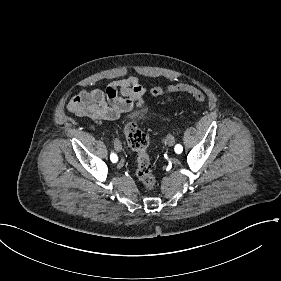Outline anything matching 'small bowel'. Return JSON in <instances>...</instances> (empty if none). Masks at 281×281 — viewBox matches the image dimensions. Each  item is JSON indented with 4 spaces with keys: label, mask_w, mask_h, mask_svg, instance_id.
<instances>
[{
    "label": "small bowel",
    "mask_w": 281,
    "mask_h": 281,
    "mask_svg": "<svg viewBox=\"0 0 281 281\" xmlns=\"http://www.w3.org/2000/svg\"><path fill=\"white\" fill-rule=\"evenodd\" d=\"M145 92L146 87L139 78L131 75L108 83L105 89L82 90L69 99L67 110L79 117L112 121L141 108Z\"/></svg>",
    "instance_id": "small-bowel-1"
}]
</instances>
